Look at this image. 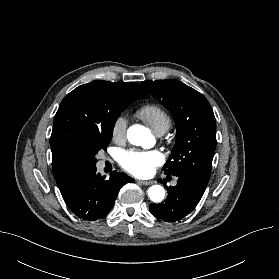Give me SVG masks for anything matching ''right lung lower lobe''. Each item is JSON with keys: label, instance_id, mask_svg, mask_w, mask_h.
<instances>
[{"label": "right lung lower lobe", "instance_id": "98d812e1", "mask_svg": "<svg viewBox=\"0 0 279 279\" xmlns=\"http://www.w3.org/2000/svg\"><path fill=\"white\" fill-rule=\"evenodd\" d=\"M133 181L126 174L116 171L105 180V176L97 173L96 166L84 167L62 197L77 217L95 221L109 213L120 188Z\"/></svg>", "mask_w": 279, "mask_h": 279}]
</instances>
